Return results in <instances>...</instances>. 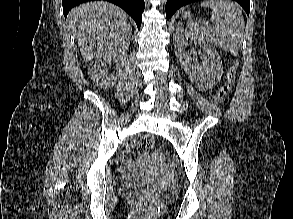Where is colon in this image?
<instances>
[{
    "label": "colon",
    "mask_w": 293,
    "mask_h": 219,
    "mask_svg": "<svg viewBox=\"0 0 293 219\" xmlns=\"http://www.w3.org/2000/svg\"><path fill=\"white\" fill-rule=\"evenodd\" d=\"M238 67H239L238 61H234L233 65L230 67L228 71L227 79L225 83L219 89L215 97V102L217 104L222 103L226 99V97L229 95L231 89L233 88ZM154 144H155L154 137L147 135L142 137L139 140L137 149L140 153H148L153 148ZM141 203L146 207H149V208L151 207V202L149 199H144L142 200Z\"/></svg>",
    "instance_id": "obj_1"
}]
</instances>
